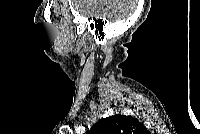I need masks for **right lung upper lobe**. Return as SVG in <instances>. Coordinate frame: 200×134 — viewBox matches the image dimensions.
Here are the masks:
<instances>
[{
    "mask_svg": "<svg viewBox=\"0 0 200 134\" xmlns=\"http://www.w3.org/2000/svg\"><path fill=\"white\" fill-rule=\"evenodd\" d=\"M145 126L131 116L113 115L99 120L88 134H147Z\"/></svg>",
    "mask_w": 200,
    "mask_h": 134,
    "instance_id": "cb5924a9",
    "label": "right lung upper lobe"
}]
</instances>
